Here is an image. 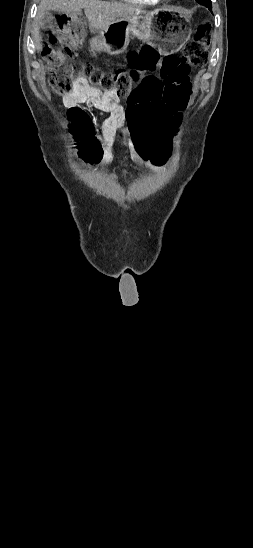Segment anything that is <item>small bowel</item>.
<instances>
[{"mask_svg": "<svg viewBox=\"0 0 253 548\" xmlns=\"http://www.w3.org/2000/svg\"><path fill=\"white\" fill-rule=\"evenodd\" d=\"M153 60H159L155 57ZM168 60V59H165ZM141 76V71H138ZM63 102L66 106L86 105L105 112L108 117L101 125L102 143L101 153L96 162L100 166L109 164L115 154V136L121 132L125 138L128 158L140 166L149 167L155 171H160L161 166L151 165L150 159H144L137 156L138 149L135 148V141L132 140V133L129 132V126L126 125L127 107H123L119 102V95L116 91H100L97 88L88 85L83 77H78L72 90L67 93Z\"/></svg>", "mask_w": 253, "mask_h": 548, "instance_id": "small-bowel-1", "label": "small bowel"}]
</instances>
